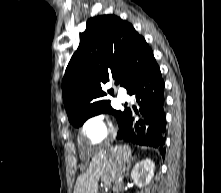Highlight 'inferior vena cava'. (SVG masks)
I'll use <instances>...</instances> for the list:
<instances>
[{
	"mask_svg": "<svg viewBox=\"0 0 221 193\" xmlns=\"http://www.w3.org/2000/svg\"><path fill=\"white\" fill-rule=\"evenodd\" d=\"M125 162H118L117 168H116V174L114 178V185H113V191L118 192L122 186L124 174H125Z\"/></svg>",
	"mask_w": 221,
	"mask_h": 193,
	"instance_id": "602c4592",
	"label": "inferior vena cava"
}]
</instances>
